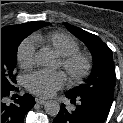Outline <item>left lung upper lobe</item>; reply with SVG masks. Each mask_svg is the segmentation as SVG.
I'll return each mask as SVG.
<instances>
[{"instance_id":"1","label":"left lung upper lobe","mask_w":123,"mask_h":123,"mask_svg":"<svg viewBox=\"0 0 123 123\" xmlns=\"http://www.w3.org/2000/svg\"><path fill=\"white\" fill-rule=\"evenodd\" d=\"M66 28L83 41L93 56V70L85 83L69 91L72 95H91L113 100L115 67L111 49L96 35L69 23Z\"/></svg>"}]
</instances>
